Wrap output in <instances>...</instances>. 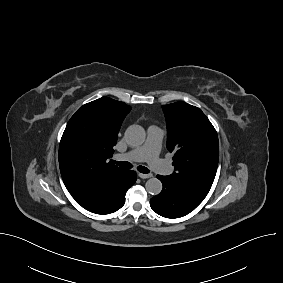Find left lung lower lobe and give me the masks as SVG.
Here are the masks:
<instances>
[{
	"instance_id": "left-lung-lower-lobe-1",
	"label": "left lung lower lobe",
	"mask_w": 283,
	"mask_h": 283,
	"mask_svg": "<svg viewBox=\"0 0 283 283\" xmlns=\"http://www.w3.org/2000/svg\"><path fill=\"white\" fill-rule=\"evenodd\" d=\"M157 178L162 182L163 190L150 200V206L157 214L166 218H179L201 203L170 177L158 175Z\"/></svg>"
}]
</instances>
